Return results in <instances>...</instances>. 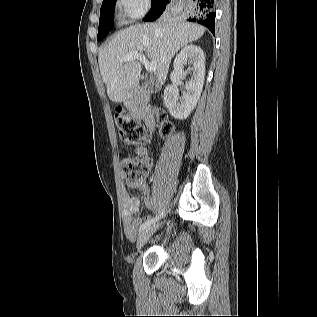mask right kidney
Instances as JSON below:
<instances>
[{"mask_svg":"<svg viewBox=\"0 0 317 317\" xmlns=\"http://www.w3.org/2000/svg\"><path fill=\"white\" fill-rule=\"evenodd\" d=\"M191 64V79L186 83V92L179 97L177 85L181 77L187 72L184 71L186 64ZM174 70L171 73L173 86H168L164 90V103L170 114L179 120L186 119L196 107L201 96L205 77V57L203 50L196 45L185 46L176 56L173 63Z\"/></svg>","mask_w":317,"mask_h":317,"instance_id":"obj_1","label":"right kidney"}]
</instances>
